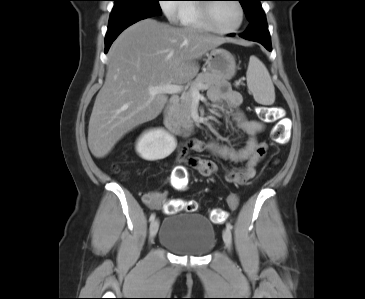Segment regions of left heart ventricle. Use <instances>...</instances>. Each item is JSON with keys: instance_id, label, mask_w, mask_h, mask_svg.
Masks as SVG:
<instances>
[{"instance_id": "b2bd125f", "label": "left heart ventricle", "mask_w": 365, "mask_h": 299, "mask_svg": "<svg viewBox=\"0 0 365 299\" xmlns=\"http://www.w3.org/2000/svg\"><path fill=\"white\" fill-rule=\"evenodd\" d=\"M212 15L214 25L222 29L233 28L240 21V10L234 1L214 4Z\"/></svg>"}]
</instances>
